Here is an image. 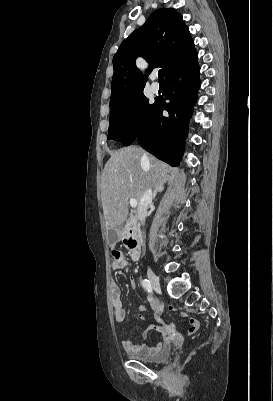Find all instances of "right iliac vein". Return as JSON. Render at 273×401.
<instances>
[{
	"mask_svg": "<svg viewBox=\"0 0 273 401\" xmlns=\"http://www.w3.org/2000/svg\"><path fill=\"white\" fill-rule=\"evenodd\" d=\"M148 278H149V281H150L151 285L153 286V288L157 292H160L161 288H160L159 279L151 269H148Z\"/></svg>",
	"mask_w": 273,
	"mask_h": 401,
	"instance_id": "63e3f726",
	"label": "right iliac vein"
}]
</instances>
